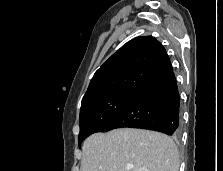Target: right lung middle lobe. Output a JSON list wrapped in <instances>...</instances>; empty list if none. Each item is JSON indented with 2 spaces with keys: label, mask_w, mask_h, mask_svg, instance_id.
<instances>
[{
  "label": "right lung middle lobe",
  "mask_w": 223,
  "mask_h": 171,
  "mask_svg": "<svg viewBox=\"0 0 223 171\" xmlns=\"http://www.w3.org/2000/svg\"><path fill=\"white\" fill-rule=\"evenodd\" d=\"M137 94L130 92L112 93L81 106L79 145L89 135L98 132L106 122L129 104Z\"/></svg>",
  "instance_id": "dd1d6c3e"
}]
</instances>
